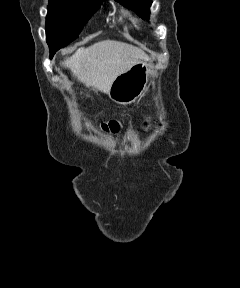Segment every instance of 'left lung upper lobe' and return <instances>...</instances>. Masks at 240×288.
Returning <instances> with one entry per match:
<instances>
[{
	"instance_id": "5c2ea615",
	"label": "left lung upper lobe",
	"mask_w": 240,
	"mask_h": 288,
	"mask_svg": "<svg viewBox=\"0 0 240 288\" xmlns=\"http://www.w3.org/2000/svg\"><path fill=\"white\" fill-rule=\"evenodd\" d=\"M126 7L133 8L137 14L143 19H148L150 11L149 7L152 4L151 0H116Z\"/></svg>"
}]
</instances>
